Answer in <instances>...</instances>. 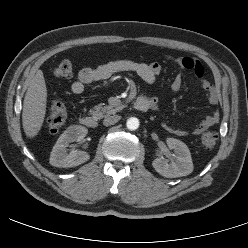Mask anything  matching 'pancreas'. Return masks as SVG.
<instances>
[{
    "label": "pancreas",
    "instance_id": "1",
    "mask_svg": "<svg viewBox=\"0 0 248 248\" xmlns=\"http://www.w3.org/2000/svg\"><path fill=\"white\" fill-rule=\"evenodd\" d=\"M122 107L123 106L113 108L110 105L103 106L102 104H99V105L95 106L92 110H90V113L93 116L102 117L104 115H109V114L115 113V112L119 111L120 109H122Z\"/></svg>",
    "mask_w": 248,
    "mask_h": 248
}]
</instances>
